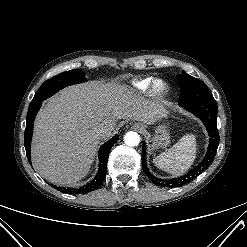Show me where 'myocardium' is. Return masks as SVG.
I'll return each mask as SVG.
<instances>
[{
  "label": "myocardium",
  "instance_id": "f54148a6",
  "mask_svg": "<svg viewBox=\"0 0 247 247\" xmlns=\"http://www.w3.org/2000/svg\"><path fill=\"white\" fill-rule=\"evenodd\" d=\"M150 90L154 96L162 97L168 93L169 86L163 79H154L150 84Z\"/></svg>",
  "mask_w": 247,
  "mask_h": 247
}]
</instances>
